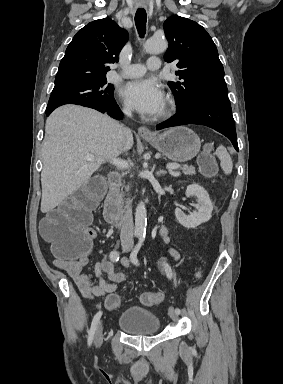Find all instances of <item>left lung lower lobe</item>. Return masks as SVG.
Segmentation results:
<instances>
[{
  "label": "left lung lower lobe",
  "mask_w": 283,
  "mask_h": 384,
  "mask_svg": "<svg viewBox=\"0 0 283 384\" xmlns=\"http://www.w3.org/2000/svg\"><path fill=\"white\" fill-rule=\"evenodd\" d=\"M201 124L225 135L238 151L237 137L229 99H215L198 102L157 125V130L168 127Z\"/></svg>",
  "instance_id": "0a47b994"
}]
</instances>
